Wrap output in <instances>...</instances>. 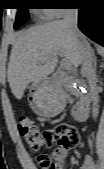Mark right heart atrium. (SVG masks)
<instances>
[{
  "mask_svg": "<svg viewBox=\"0 0 104 169\" xmlns=\"http://www.w3.org/2000/svg\"><path fill=\"white\" fill-rule=\"evenodd\" d=\"M69 9H45L43 11V16L46 19H57L66 14Z\"/></svg>",
  "mask_w": 104,
  "mask_h": 169,
  "instance_id": "obj_1",
  "label": "right heart atrium"
}]
</instances>
